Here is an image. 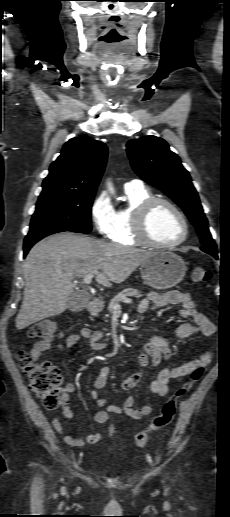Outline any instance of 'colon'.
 I'll list each match as a JSON object with an SVG mask.
<instances>
[{"label": "colon", "mask_w": 230, "mask_h": 517, "mask_svg": "<svg viewBox=\"0 0 230 517\" xmlns=\"http://www.w3.org/2000/svg\"><path fill=\"white\" fill-rule=\"evenodd\" d=\"M211 278V274L204 266H195L191 272V281L194 284H205ZM58 333L56 324L51 320H41L29 325L27 334L31 338H38L43 341L52 340ZM17 359L20 363L23 374L29 382V386L35 396L48 409L56 408L61 399V373L58 368L48 361L34 359L31 354L19 351ZM205 368H195L189 379L175 390L169 400L163 405L159 414L154 416L147 430L141 431L135 436L137 447L143 448L151 432L160 430L169 425L176 413L177 404L180 398L185 396L190 388L201 379Z\"/></svg>", "instance_id": "obj_1"}]
</instances>
